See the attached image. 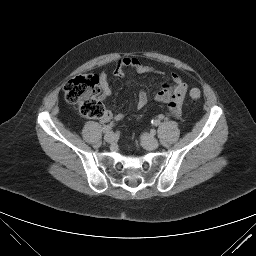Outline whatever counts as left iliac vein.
<instances>
[{
  "instance_id": "1",
  "label": "left iliac vein",
  "mask_w": 256,
  "mask_h": 256,
  "mask_svg": "<svg viewBox=\"0 0 256 256\" xmlns=\"http://www.w3.org/2000/svg\"><path fill=\"white\" fill-rule=\"evenodd\" d=\"M141 142H142V145L144 146V148H146L148 150L156 149L159 146L158 140L155 137H153L152 135L147 134V133H144L141 136Z\"/></svg>"
}]
</instances>
